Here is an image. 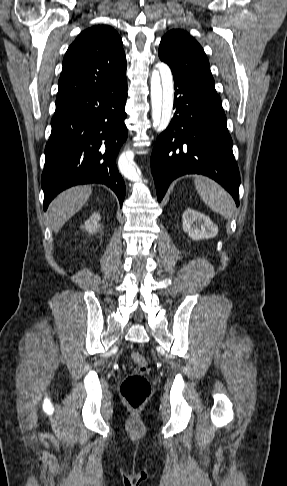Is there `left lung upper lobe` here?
<instances>
[{
  "instance_id": "left-lung-upper-lobe-1",
  "label": "left lung upper lobe",
  "mask_w": 287,
  "mask_h": 486,
  "mask_svg": "<svg viewBox=\"0 0 287 486\" xmlns=\"http://www.w3.org/2000/svg\"><path fill=\"white\" fill-rule=\"evenodd\" d=\"M158 55L172 71L188 77L219 97L205 52L186 31L173 29L167 32L161 40Z\"/></svg>"
}]
</instances>
